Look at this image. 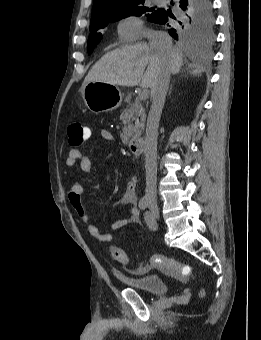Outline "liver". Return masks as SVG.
Listing matches in <instances>:
<instances>
[{
  "instance_id": "6515ba94",
  "label": "liver",
  "mask_w": 261,
  "mask_h": 340,
  "mask_svg": "<svg viewBox=\"0 0 261 340\" xmlns=\"http://www.w3.org/2000/svg\"><path fill=\"white\" fill-rule=\"evenodd\" d=\"M182 65V55L175 50L161 58L147 43L124 46L106 53L97 61L85 77L83 87L88 82L99 81L126 87L140 84L144 89H153L161 74H177ZM200 73L199 70L191 72L195 76Z\"/></svg>"
}]
</instances>
